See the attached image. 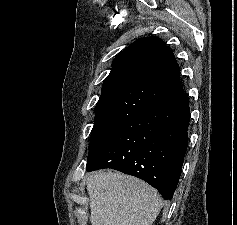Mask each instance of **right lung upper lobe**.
Here are the masks:
<instances>
[{
    "instance_id": "right-lung-upper-lobe-1",
    "label": "right lung upper lobe",
    "mask_w": 237,
    "mask_h": 225,
    "mask_svg": "<svg viewBox=\"0 0 237 225\" xmlns=\"http://www.w3.org/2000/svg\"><path fill=\"white\" fill-rule=\"evenodd\" d=\"M180 69L162 39L136 40L113 60L95 107V120L129 121L181 93Z\"/></svg>"
}]
</instances>
